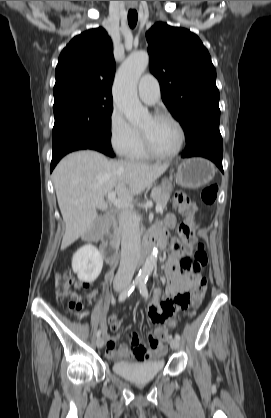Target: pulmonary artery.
Segmentation results:
<instances>
[{
    "label": "pulmonary artery",
    "instance_id": "pulmonary-artery-1",
    "mask_svg": "<svg viewBox=\"0 0 271 418\" xmlns=\"http://www.w3.org/2000/svg\"><path fill=\"white\" fill-rule=\"evenodd\" d=\"M138 94L140 99L147 104H155L160 98V86L158 80L151 74H145L139 81Z\"/></svg>",
    "mask_w": 271,
    "mask_h": 418
}]
</instances>
